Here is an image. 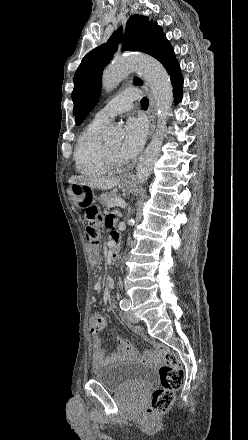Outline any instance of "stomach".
<instances>
[{"label": "stomach", "mask_w": 248, "mask_h": 440, "mask_svg": "<svg viewBox=\"0 0 248 440\" xmlns=\"http://www.w3.org/2000/svg\"><path fill=\"white\" fill-rule=\"evenodd\" d=\"M120 186L125 190L131 191L133 189V182L129 178H124ZM67 192L76 208H81L87 202L94 200L92 188L81 183H70Z\"/></svg>", "instance_id": "obj_1"}]
</instances>
